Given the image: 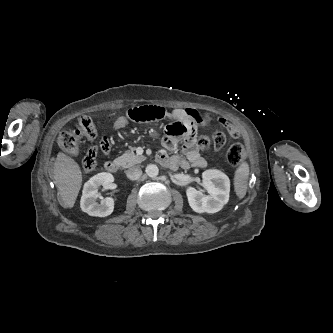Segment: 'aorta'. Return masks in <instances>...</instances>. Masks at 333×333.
<instances>
[{
    "label": "aorta",
    "instance_id": "762f6f07",
    "mask_svg": "<svg viewBox=\"0 0 333 333\" xmlns=\"http://www.w3.org/2000/svg\"><path fill=\"white\" fill-rule=\"evenodd\" d=\"M146 174L151 177V178H155L158 176L159 174V169L156 165L154 164H149L147 167H146Z\"/></svg>",
    "mask_w": 333,
    "mask_h": 333
}]
</instances>
